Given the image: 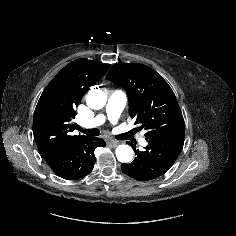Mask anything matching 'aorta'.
I'll return each instance as SVG.
<instances>
[{
	"instance_id": "obj_1",
	"label": "aorta",
	"mask_w": 236,
	"mask_h": 236,
	"mask_svg": "<svg viewBox=\"0 0 236 236\" xmlns=\"http://www.w3.org/2000/svg\"><path fill=\"white\" fill-rule=\"evenodd\" d=\"M107 101L106 94L99 89H92L88 92L86 97L87 105L92 109H101L105 106ZM134 155L133 149L129 145H119L116 148V157L122 163H128L132 160Z\"/></svg>"
}]
</instances>
